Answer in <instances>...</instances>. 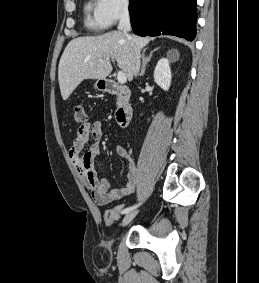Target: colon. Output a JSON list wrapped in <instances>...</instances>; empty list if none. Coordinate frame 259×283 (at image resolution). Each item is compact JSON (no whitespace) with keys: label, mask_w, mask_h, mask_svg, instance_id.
<instances>
[{"label":"colon","mask_w":259,"mask_h":283,"mask_svg":"<svg viewBox=\"0 0 259 283\" xmlns=\"http://www.w3.org/2000/svg\"><path fill=\"white\" fill-rule=\"evenodd\" d=\"M74 121L76 123H85L86 114L84 108L80 105L74 107ZM123 206H117L114 209L108 210L105 213V221L107 224H112L115 220L120 217V214L123 211Z\"/></svg>","instance_id":"colon-1"}]
</instances>
